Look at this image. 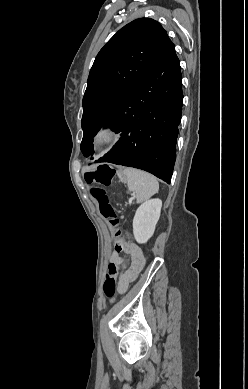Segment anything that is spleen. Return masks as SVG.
<instances>
[{
	"label": "spleen",
	"mask_w": 248,
	"mask_h": 389,
	"mask_svg": "<svg viewBox=\"0 0 248 389\" xmlns=\"http://www.w3.org/2000/svg\"><path fill=\"white\" fill-rule=\"evenodd\" d=\"M127 181L128 190L136 194L137 203H142L156 194L159 183L153 175L145 171L125 168L122 172Z\"/></svg>",
	"instance_id": "3e777b00"
}]
</instances>
